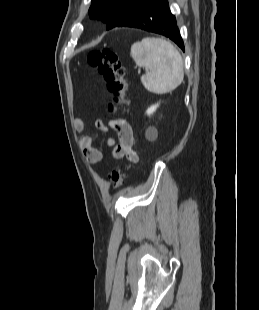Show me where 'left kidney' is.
Returning <instances> with one entry per match:
<instances>
[{"label": "left kidney", "instance_id": "1", "mask_svg": "<svg viewBox=\"0 0 259 310\" xmlns=\"http://www.w3.org/2000/svg\"><path fill=\"white\" fill-rule=\"evenodd\" d=\"M158 106H159V104L152 105L151 107H149L147 109L146 114L150 116L151 114H153L156 111Z\"/></svg>", "mask_w": 259, "mask_h": 310}]
</instances>
